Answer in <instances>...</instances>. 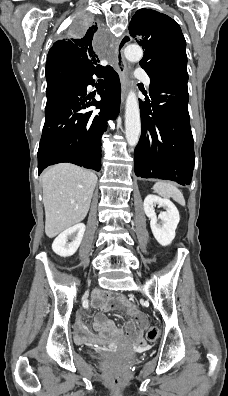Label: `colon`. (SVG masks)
Wrapping results in <instances>:
<instances>
[{"mask_svg":"<svg viewBox=\"0 0 228 396\" xmlns=\"http://www.w3.org/2000/svg\"><path fill=\"white\" fill-rule=\"evenodd\" d=\"M159 336V330L156 327H150L146 332V337L150 341H154Z\"/></svg>","mask_w":228,"mask_h":396,"instance_id":"1","label":"colon"}]
</instances>
